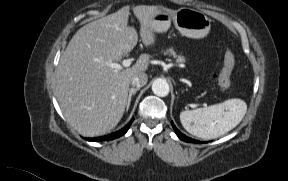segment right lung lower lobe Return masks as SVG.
<instances>
[{"instance_id":"98d812e1","label":"right lung lower lobe","mask_w":288,"mask_h":181,"mask_svg":"<svg viewBox=\"0 0 288 181\" xmlns=\"http://www.w3.org/2000/svg\"><path fill=\"white\" fill-rule=\"evenodd\" d=\"M132 121H133V118L129 122V124H127L124 128L118 130L117 132H114V133H111V134H108V135L102 136V137L86 138V140L93 141V142H99V141H109V140H114L116 138H119V137L123 136L128 131Z\"/></svg>"}]
</instances>
